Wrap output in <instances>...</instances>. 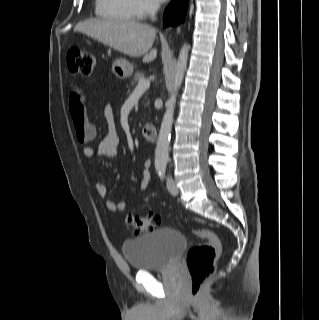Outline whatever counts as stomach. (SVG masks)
I'll return each instance as SVG.
<instances>
[{
  "mask_svg": "<svg viewBox=\"0 0 319 320\" xmlns=\"http://www.w3.org/2000/svg\"><path fill=\"white\" fill-rule=\"evenodd\" d=\"M113 74L120 79H126L133 73V66L125 59H117L112 65Z\"/></svg>",
  "mask_w": 319,
  "mask_h": 320,
  "instance_id": "0dacf381",
  "label": "stomach"
}]
</instances>
